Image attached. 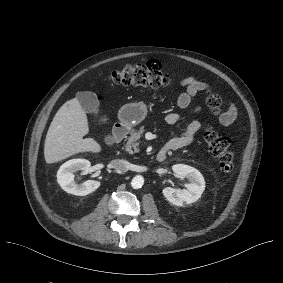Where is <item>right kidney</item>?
<instances>
[{
	"label": "right kidney",
	"instance_id": "1",
	"mask_svg": "<svg viewBox=\"0 0 283 283\" xmlns=\"http://www.w3.org/2000/svg\"><path fill=\"white\" fill-rule=\"evenodd\" d=\"M90 166L91 163L86 159H72L61 165L57 172V181L61 188L77 196H85L95 191L100 186L99 181L87 180L82 184L74 181V172L78 170L88 172Z\"/></svg>",
	"mask_w": 283,
	"mask_h": 283
}]
</instances>
